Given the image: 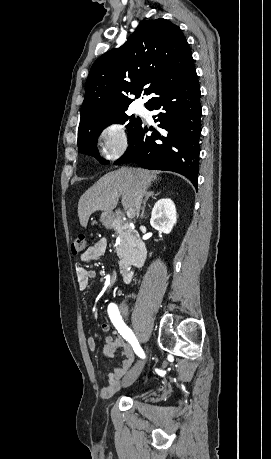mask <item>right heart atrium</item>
<instances>
[{
	"label": "right heart atrium",
	"mask_w": 271,
	"mask_h": 459,
	"mask_svg": "<svg viewBox=\"0 0 271 459\" xmlns=\"http://www.w3.org/2000/svg\"><path fill=\"white\" fill-rule=\"evenodd\" d=\"M100 155L107 161L121 157L128 148V134L125 126L109 122L99 128L95 137Z\"/></svg>",
	"instance_id": "right-heart-atrium-1"
}]
</instances>
